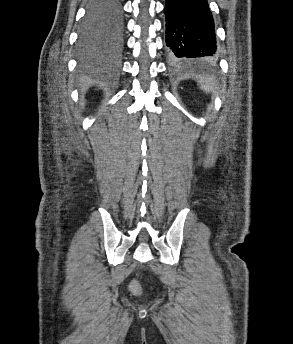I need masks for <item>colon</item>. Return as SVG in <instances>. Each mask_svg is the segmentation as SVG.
<instances>
[{
  "instance_id": "5ec220e1",
  "label": "colon",
  "mask_w": 293,
  "mask_h": 344,
  "mask_svg": "<svg viewBox=\"0 0 293 344\" xmlns=\"http://www.w3.org/2000/svg\"><path fill=\"white\" fill-rule=\"evenodd\" d=\"M129 289L134 295H141L142 294L141 285L137 281H132L129 285Z\"/></svg>"
}]
</instances>
